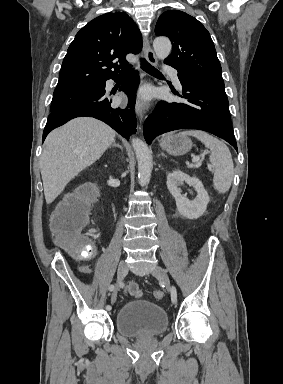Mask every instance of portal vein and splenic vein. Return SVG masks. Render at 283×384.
I'll list each match as a JSON object with an SVG mask.
<instances>
[{"instance_id":"portal-vein-and-splenic-vein-1","label":"portal vein and splenic vein","mask_w":283,"mask_h":384,"mask_svg":"<svg viewBox=\"0 0 283 384\" xmlns=\"http://www.w3.org/2000/svg\"><path fill=\"white\" fill-rule=\"evenodd\" d=\"M192 162H197L196 168H200L201 162H200L199 156H193ZM208 168H210V170H211L212 166H209V164H208Z\"/></svg>"}]
</instances>
